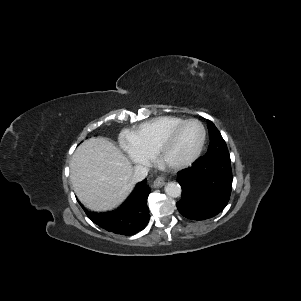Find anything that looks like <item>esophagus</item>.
Segmentation results:
<instances>
[{"instance_id": "1", "label": "esophagus", "mask_w": 301, "mask_h": 301, "mask_svg": "<svg viewBox=\"0 0 301 301\" xmlns=\"http://www.w3.org/2000/svg\"><path fill=\"white\" fill-rule=\"evenodd\" d=\"M165 184H166V179L163 176H158L153 182V186L155 188H160V187L164 186Z\"/></svg>"}]
</instances>
